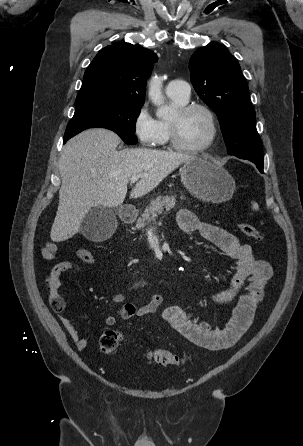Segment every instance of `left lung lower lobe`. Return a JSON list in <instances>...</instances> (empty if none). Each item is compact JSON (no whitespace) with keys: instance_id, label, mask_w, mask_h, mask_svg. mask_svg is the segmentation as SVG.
Instances as JSON below:
<instances>
[{"instance_id":"obj_1","label":"left lung lower lobe","mask_w":303,"mask_h":446,"mask_svg":"<svg viewBox=\"0 0 303 446\" xmlns=\"http://www.w3.org/2000/svg\"><path fill=\"white\" fill-rule=\"evenodd\" d=\"M251 161V160H250ZM251 162H253V163H255L256 164V166H257V168L259 169V171H261V172H263V165H261V164H258L257 162H255V161H251Z\"/></svg>"}]
</instances>
